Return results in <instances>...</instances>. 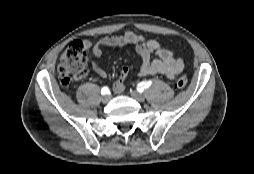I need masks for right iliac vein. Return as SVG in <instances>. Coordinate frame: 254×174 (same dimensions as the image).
<instances>
[{
    "instance_id": "right-iliac-vein-1",
    "label": "right iliac vein",
    "mask_w": 254,
    "mask_h": 174,
    "mask_svg": "<svg viewBox=\"0 0 254 174\" xmlns=\"http://www.w3.org/2000/svg\"><path fill=\"white\" fill-rule=\"evenodd\" d=\"M111 99V96L110 95H105L102 97V102L103 103H108Z\"/></svg>"
}]
</instances>
